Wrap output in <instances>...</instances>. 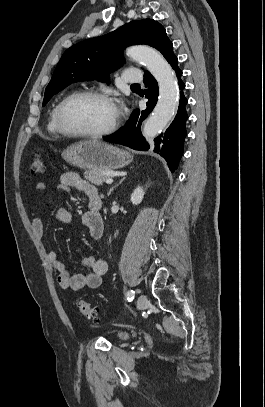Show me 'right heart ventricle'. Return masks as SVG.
<instances>
[{"label":"right heart ventricle","mask_w":265,"mask_h":407,"mask_svg":"<svg viewBox=\"0 0 265 407\" xmlns=\"http://www.w3.org/2000/svg\"><path fill=\"white\" fill-rule=\"evenodd\" d=\"M59 104H60V102H58L52 108L50 115H49L48 124H47L48 131L54 135H63V133L58 128L57 119H56V114H57V109H58Z\"/></svg>","instance_id":"e07e8e85"}]
</instances>
